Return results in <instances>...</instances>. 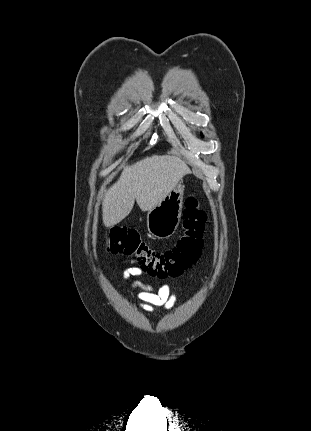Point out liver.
Listing matches in <instances>:
<instances>
[{
    "instance_id": "liver-1",
    "label": "liver",
    "mask_w": 311,
    "mask_h": 431,
    "mask_svg": "<svg viewBox=\"0 0 311 431\" xmlns=\"http://www.w3.org/2000/svg\"><path fill=\"white\" fill-rule=\"evenodd\" d=\"M187 174H191L190 168L176 156H151L125 166L119 180L104 194L105 227L117 225L129 216L135 202L142 212L153 210Z\"/></svg>"
}]
</instances>
